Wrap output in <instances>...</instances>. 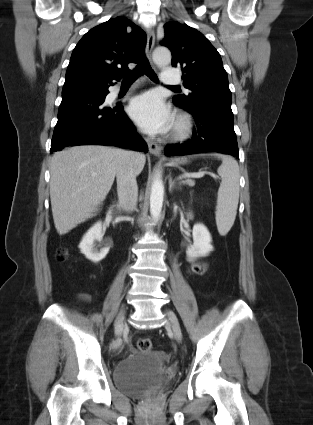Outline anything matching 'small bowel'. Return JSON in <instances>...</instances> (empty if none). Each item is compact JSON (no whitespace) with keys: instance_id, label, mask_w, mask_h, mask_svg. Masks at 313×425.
Returning a JSON list of instances; mask_svg holds the SVG:
<instances>
[{"instance_id":"c3829d8e","label":"small bowel","mask_w":313,"mask_h":425,"mask_svg":"<svg viewBox=\"0 0 313 425\" xmlns=\"http://www.w3.org/2000/svg\"><path fill=\"white\" fill-rule=\"evenodd\" d=\"M188 262L191 264V267L192 266H199L200 265V264L196 263L195 260L192 257H189L188 258ZM81 299L83 301H89L90 297H89L88 294H81Z\"/></svg>"}]
</instances>
